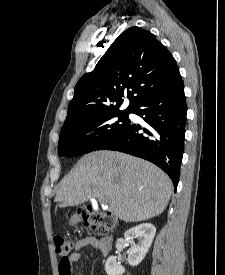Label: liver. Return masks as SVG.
I'll return each mask as SVG.
<instances>
[{
    "mask_svg": "<svg viewBox=\"0 0 225 275\" xmlns=\"http://www.w3.org/2000/svg\"><path fill=\"white\" fill-rule=\"evenodd\" d=\"M173 185L160 168L115 151L84 155L60 182L55 202L63 207L98 199L125 222H141L161 214Z\"/></svg>",
    "mask_w": 225,
    "mask_h": 275,
    "instance_id": "liver-1",
    "label": "liver"
}]
</instances>
